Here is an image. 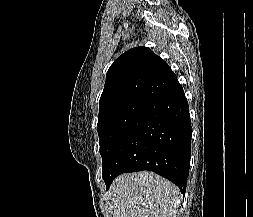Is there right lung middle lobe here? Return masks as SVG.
<instances>
[{"label":"right lung middle lobe","mask_w":253,"mask_h":217,"mask_svg":"<svg viewBox=\"0 0 253 217\" xmlns=\"http://www.w3.org/2000/svg\"><path fill=\"white\" fill-rule=\"evenodd\" d=\"M149 102L143 99H127L99 111L97 130L103 172L118 140Z\"/></svg>","instance_id":"right-lung-middle-lobe-1"}]
</instances>
